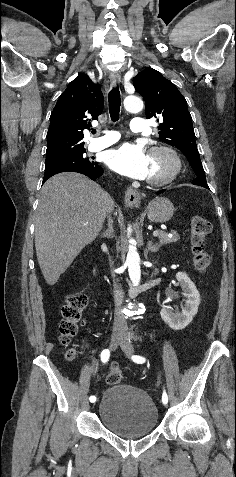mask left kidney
Segmentation results:
<instances>
[{
	"mask_svg": "<svg viewBox=\"0 0 236 477\" xmlns=\"http://www.w3.org/2000/svg\"><path fill=\"white\" fill-rule=\"evenodd\" d=\"M176 279L181 285L183 295L187 298L182 312H172L168 307L161 309L162 320L173 330H181L188 326L198 312L200 294L195 284L184 272H178Z\"/></svg>",
	"mask_w": 236,
	"mask_h": 477,
	"instance_id": "obj_1",
	"label": "left kidney"
}]
</instances>
